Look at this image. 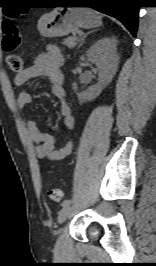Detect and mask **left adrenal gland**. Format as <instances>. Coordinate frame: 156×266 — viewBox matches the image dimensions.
I'll list each match as a JSON object with an SVG mask.
<instances>
[{
  "label": "left adrenal gland",
  "instance_id": "a2214340",
  "mask_svg": "<svg viewBox=\"0 0 156 266\" xmlns=\"http://www.w3.org/2000/svg\"><path fill=\"white\" fill-rule=\"evenodd\" d=\"M92 31L86 33L82 38H81V42H80V46L83 44L84 39L87 37L88 34H90Z\"/></svg>",
  "mask_w": 156,
  "mask_h": 266
}]
</instances>
